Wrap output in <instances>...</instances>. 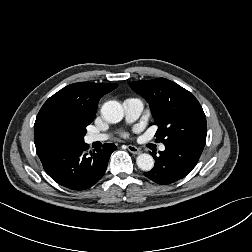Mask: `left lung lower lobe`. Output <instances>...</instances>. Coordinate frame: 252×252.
Segmentation results:
<instances>
[{
    "mask_svg": "<svg viewBox=\"0 0 252 252\" xmlns=\"http://www.w3.org/2000/svg\"><path fill=\"white\" fill-rule=\"evenodd\" d=\"M204 147L193 143L166 145L160 156L152 153L155 166L144 175L150 180L166 185L185 177L197 164Z\"/></svg>",
    "mask_w": 252,
    "mask_h": 252,
    "instance_id": "0a47b994",
    "label": "left lung lower lobe"
}]
</instances>
